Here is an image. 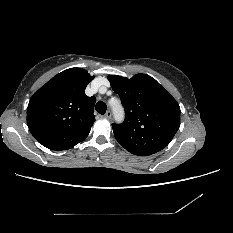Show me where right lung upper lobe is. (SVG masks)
<instances>
[{"label":"right lung upper lobe","mask_w":233,"mask_h":233,"mask_svg":"<svg viewBox=\"0 0 233 233\" xmlns=\"http://www.w3.org/2000/svg\"><path fill=\"white\" fill-rule=\"evenodd\" d=\"M92 79L86 70L70 68L31 97L27 125L39 143L51 150H68L88 136L96 99L86 96L85 88Z\"/></svg>","instance_id":"right-lung-upper-lobe-1"}]
</instances>
